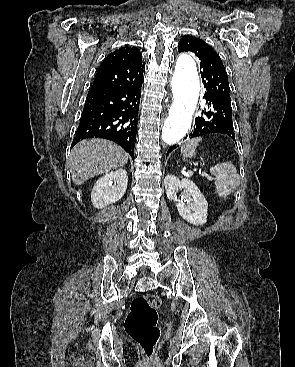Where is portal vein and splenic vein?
<instances>
[{
	"mask_svg": "<svg viewBox=\"0 0 295 367\" xmlns=\"http://www.w3.org/2000/svg\"><path fill=\"white\" fill-rule=\"evenodd\" d=\"M202 176L205 177L210 182L213 181V177L210 176L209 174L205 173V172H202Z\"/></svg>",
	"mask_w": 295,
	"mask_h": 367,
	"instance_id": "18ae733b",
	"label": "portal vein and splenic vein"
}]
</instances>
